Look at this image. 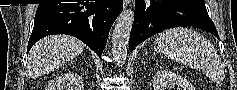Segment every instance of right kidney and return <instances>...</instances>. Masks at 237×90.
<instances>
[{"instance_id": "obj_1", "label": "right kidney", "mask_w": 237, "mask_h": 90, "mask_svg": "<svg viewBox=\"0 0 237 90\" xmlns=\"http://www.w3.org/2000/svg\"><path fill=\"white\" fill-rule=\"evenodd\" d=\"M75 80H80V78H78V76H76ZM79 86V84H78ZM80 90L82 88V86H79ZM53 90H58V86H54Z\"/></svg>"}]
</instances>
